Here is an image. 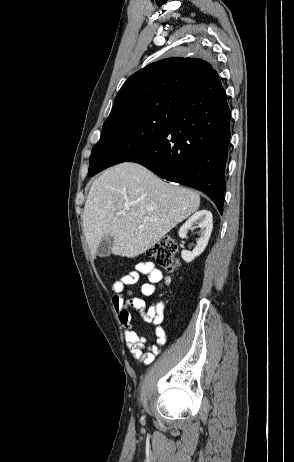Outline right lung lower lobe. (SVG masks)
Returning a JSON list of instances; mask_svg holds the SVG:
<instances>
[{
  "mask_svg": "<svg viewBox=\"0 0 294 462\" xmlns=\"http://www.w3.org/2000/svg\"><path fill=\"white\" fill-rule=\"evenodd\" d=\"M185 98L172 121L125 161L203 191L222 214L231 117L226 92L219 79ZM98 172L90 158L88 175Z\"/></svg>",
  "mask_w": 294,
  "mask_h": 462,
  "instance_id": "right-lung-lower-lobe-1",
  "label": "right lung lower lobe"
}]
</instances>
